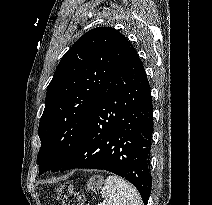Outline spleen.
<instances>
[{"mask_svg":"<svg viewBox=\"0 0 212 205\" xmlns=\"http://www.w3.org/2000/svg\"><path fill=\"white\" fill-rule=\"evenodd\" d=\"M105 197L103 205H142L137 190L119 176H108L100 192Z\"/></svg>","mask_w":212,"mask_h":205,"instance_id":"spleen-1","label":"spleen"}]
</instances>
